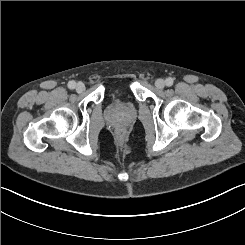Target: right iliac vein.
<instances>
[{
  "label": "right iliac vein",
  "instance_id": "right-iliac-vein-1",
  "mask_svg": "<svg viewBox=\"0 0 245 245\" xmlns=\"http://www.w3.org/2000/svg\"><path fill=\"white\" fill-rule=\"evenodd\" d=\"M77 92H83L85 90V85L82 82H78L75 86Z\"/></svg>",
  "mask_w": 245,
  "mask_h": 245
}]
</instances>
